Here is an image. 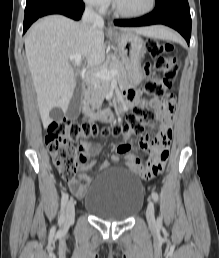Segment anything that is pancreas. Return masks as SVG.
<instances>
[{
	"label": "pancreas",
	"mask_w": 219,
	"mask_h": 258,
	"mask_svg": "<svg viewBox=\"0 0 219 258\" xmlns=\"http://www.w3.org/2000/svg\"><path fill=\"white\" fill-rule=\"evenodd\" d=\"M110 69H116L118 71L116 79L120 85H127V71L123 63L114 60L110 63ZM110 82L107 79L94 78L90 83L86 95L85 102L87 106L91 108H99L106 95L109 93Z\"/></svg>",
	"instance_id": "1"
}]
</instances>
